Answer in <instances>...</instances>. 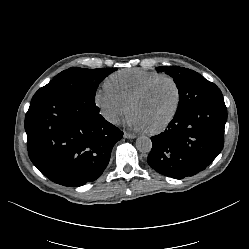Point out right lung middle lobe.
<instances>
[{
    "label": "right lung middle lobe",
    "instance_id": "obj_1",
    "mask_svg": "<svg viewBox=\"0 0 249 249\" xmlns=\"http://www.w3.org/2000/svg\"><path fill=\"white\" fill-rule=\"evenodd\" d=\"M115 70L117 68H69L40 88L31 102L43 98L71 96L94 105L95 94L100 81Z\"/></svg>",
    "mask_w": 249,
    "mask_h": 249
}]
</instances>
